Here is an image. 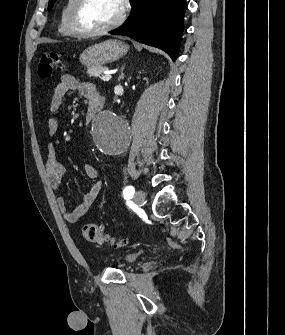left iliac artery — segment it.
Segmentation results:
<instances>
[{"label": "left iliac artery", "instance_id": "left-iliac-artery-1", "mask_svg": "<svg viewBox=\"0 0 285 335\" xmlns=\"http://www.w3.org/2000/svg\"><path fill=\"white\" fill-rule=\"evenodd\" d=\"M135 192V189L133 186H127L124 190H123V195L124 197L126 196H131L133 195Z\"/></svg>", "mask_w": 285, "mask_h": 335}]
</instances>
